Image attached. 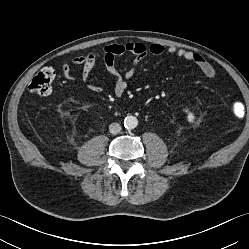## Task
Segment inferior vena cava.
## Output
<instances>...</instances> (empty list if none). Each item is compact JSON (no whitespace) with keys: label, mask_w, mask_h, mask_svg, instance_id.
<instances>
[{"label":"inferior vena cava","mask_w":249,"mask_h":249,"mask_svg":"<svg viewBox=\"0 0 249 249\" xmlns=\"http://www.w3.org/2000/svg\"><path fill=\"white\" fill-rule=\"evenodd\" d=\"M122 127L119 123H111L109 126V131L111 134H118L121 131Z\"/></svg>","instance_id":"inferior-vena-cava-1"}]
</instances>
